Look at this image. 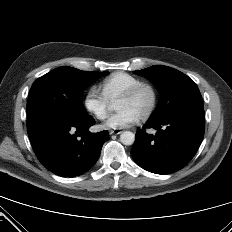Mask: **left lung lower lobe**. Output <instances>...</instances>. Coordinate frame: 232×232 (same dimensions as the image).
<instances>
[{
	"label": "left lung lower lobe",
	"instance_id": "obj_1",
	"mask_svg": "<svg viewBox=\"0 0 232 232\" xmlns=\"http://www.w3.org/2000/svg\"><path fill=\"white\" fill-rule=\"evenodd\" d=\"M145 128L157 130L147 134ZM203 101L197 100L150 119L136 133L131 150L134 161L156 174H169L185 167L197 152L204 136Z\"/></svg>",
	"mask_w": 232,
	"mask_h": 232
}]
</instances>
